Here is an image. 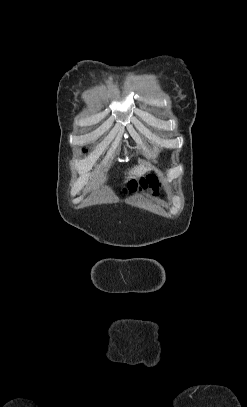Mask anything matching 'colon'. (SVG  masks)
Masks as SVG:
<instances>
[{"label":"colon","mask_w":247,"mask_h":407,"mask_svg":"<svg viewBox=\"0 0 247 407\" xmlns=\"http://www.w3.org/2000/svg\"><path fill=\"white\" fill-rule=\"evenodd\" d=\"M138 188L147 189L150 188L157 194L159 189V180L155 176H148L145 179H142L139 183L132 181L128 184L129 191H136Z\"/></svg>","instance_id":"1"}]
</instances>
